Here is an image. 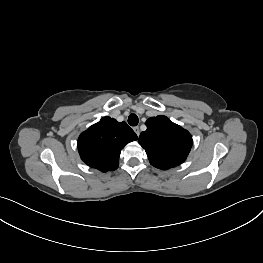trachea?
<instances>
[{"label": "trachea", "instance_id": "1", "mask_svg": "<svg viewBox=\"0 0 263 263\" xmlns=\"http://www.w3.org/2000/svg\"><path fill=\"white\" fill-rule=\"evenodd\" d=\"M138 116L136 114H130L128 117V123L131 126H137L138 125Z\"/></svg>", "mask_w": 263, "mask_h": 263}]
</instances>
